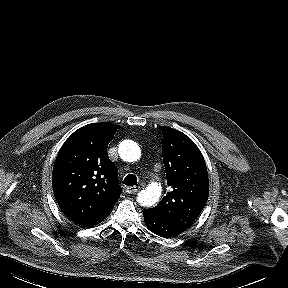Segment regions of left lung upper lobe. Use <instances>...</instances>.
Instances as JSON below:
<instances>
[{"instance_id": "obj_1", "label": "left lung upper lobe", "mask_w": 288, "mask_h": 288, "mask_svg": "<svg viewBox=\"0 0 288 288\" xmlns=\"http://www.w3.org/2000/svg\"><path fill=\"white\" fill-rule=\"evenodd\" d=\"M161 129L162 154L170 192L150 211L186 229L199 216L209 196L206 163L188 136L170 127Z\"/></svg>"}]
</instances>
